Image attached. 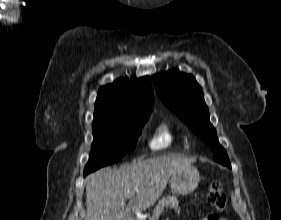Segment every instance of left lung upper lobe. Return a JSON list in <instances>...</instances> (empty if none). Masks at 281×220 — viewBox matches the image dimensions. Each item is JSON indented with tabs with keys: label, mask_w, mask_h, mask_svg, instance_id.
<instances>
[{
	"label": "left lung upper lobe",
	"mask_w": 281,
	"mask_h": 220,
	"mask_svg": "<svg viewBox=\"0 0 281 220\" xmlns=\"http://www.w3.org/2000/svg\"><path fill=\"white\" fill-rule=\"evenodd\" d=\"M152 80L162 102L211 147L214 160L231 168L226 151L217 139L216 130L209 122L208 107L195 78L172 69L154 75Z\"/></svg>",
	"instance_id": "5c2ea615"
}]
</instances>
